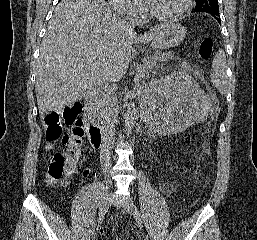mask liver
Wrapping results in <instances>:
<instances>
[{
    "instance_id": "liver-1",
    "label": "liver",
    "mask_w": 257,
    "mask_h": 240,
    "mask_svg": "<svg viewBox=\"0 0 257 240\" xmlns=\"http://www.w3.org/2000/svg\"><path fill=\"white\" fill-rule=\"evenodd\" d=\"M144 35L123 29L104 0H62L42 40L36 71L41 116L86 97L94 85L120 80L132 45L150 42L163 26Z\"/></svg>"
}]
</instances>
